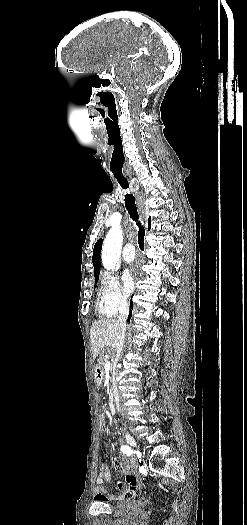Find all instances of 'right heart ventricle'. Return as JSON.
<instances>
[{"label":"right heart ventricle","mask_w":247,"mask_h":525,"mask_svg":"<svg viewBox=\"0 0 247 525\" xmlns=\"http://www.w3.org/2000/svg\"><path fill=\"white\" fill-rule=\"evenodd\" d=\"M96 314H97V316H98L99 318H102V317H110V316H111V315H107V314H105V313L102 311V309H101L100 305L98 304V302H97V304H96Z\"/></svg>","instance_id":"1"}]
</instances>
